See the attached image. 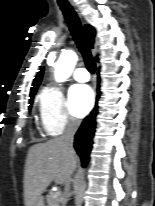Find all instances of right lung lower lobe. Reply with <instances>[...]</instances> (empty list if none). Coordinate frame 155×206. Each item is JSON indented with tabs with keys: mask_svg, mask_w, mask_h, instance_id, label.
<instances>
[{
	"mask_svg": "<svg viewBox=\"0 0 155 206\" xmlns=\"http://www.w3.org/2000/svg\"><path fill=\"white\" fill-rule=\"evenodd\" d=\"M98 87H100L98 85ZM98 95L97 99L100 97V90L98 89ZM98 107L96 106L90 115H88L84 121L82 122L79 130L77 131L75 135V140H74V147L75 150L77 151L78 155L81 158L82 161V166L85 167L88 163L89 160V154L92 148V138L94 136L95 132V117L98 112Z\"/></svg>",
	"mask_w": 155,
	"mask_h": 206,
	"instance_id": "1",
	"label": "right lung lower lobe"
}]
</instances>
